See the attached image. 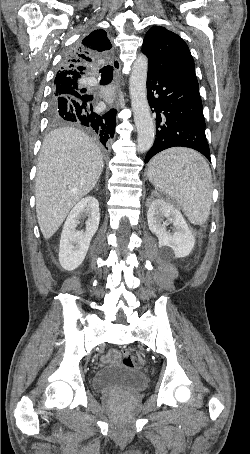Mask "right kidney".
I'll return each mask as SVG.
<instances>
[{
  "mask_svg": "<svg viewBox=\"0 0 250 454\" xmlns=\"http://www.w3.org/2000/svg\"><path fill=\"white\" fill-rule=\"evenodd\" d=\"M86 215L85 231H77L79 219ZM100 221L99 203L93 196L81 199L71 210L63 226L59 262L63 269L72 271L84 261L91 239L96 233Z\"/></svg>",
  "mask_w": 250,
  "mask_h": 454,
  "instance_id": "ca27d5eb",
  "label": "right kidney"
}]
</instances>
